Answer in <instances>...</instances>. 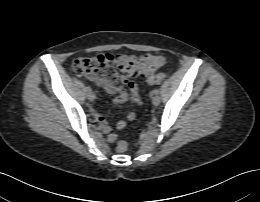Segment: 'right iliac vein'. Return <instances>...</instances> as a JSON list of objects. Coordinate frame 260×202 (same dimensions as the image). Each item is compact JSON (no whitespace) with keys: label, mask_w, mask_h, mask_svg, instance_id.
Wrapping results in <instances>:
<instances>
[{"label":"right iliac vein","mask_w":260,"mask_h":202,"mask_svg":"<svg viewBox=\"0 0 260 202\" xmlns=\"http://www.w3.org/2000/svg\"><path fill=\"white\" fill-rule=\"evenodd\" d=\"M87 97L89 101H94L95 99V95L92 92L88 93Z\"/></svg>","instance_id":"1"}]
</instances>
